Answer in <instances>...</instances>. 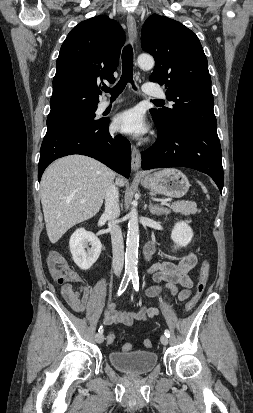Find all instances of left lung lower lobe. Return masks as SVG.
<instances>
[{"label":"left lung lower lobe","mask_w":253,"mask_h":413,"mask_svg":"<svg viewBox=\"0 0 253 413\" xmlns=\"http://www.w3.org/2000/svg\"><path fill=\"white\" fill-rule=\"evenodd\" d=\"M154 119V118H153ZM155 144L141 154V167H187L208 174L222 192L224 174L222 153L217 130L197 124L179 127L168 136L160 133Z\"/></svg>","instance_id":"1"}]
</instances>
